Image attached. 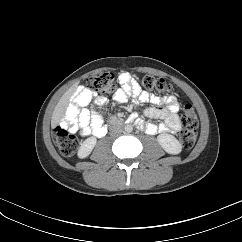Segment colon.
Masks as SVG:
<instances>
[{
	"instance_id": "obj_1",
	"label": "colon",
	"mask_w": 242,
	"mask_h": 242,
	"mask_svg": "<svg viewBox=\"0 0 242 242\" xmlns=\"http://www.w3.org/2000/svg\"><path fill=\"white\" fill-rule=\"evenodd\" d=\"M143 85L147 90L160 95L168 94L172 90L171 85L166 80L153 76H145ZM87 86L92 92L111 95L116 89V78L114 74L106 72L90 79ZM181 122L183 125L180 133L181 143L184 148L189 149L195 143L198 128L197 114L192 105L187 104L183 108ZM55 143L63 156L71 157L78 148L79 140L67 128L61 125L55 128Z\"/></svg>"
}]
</instances>
